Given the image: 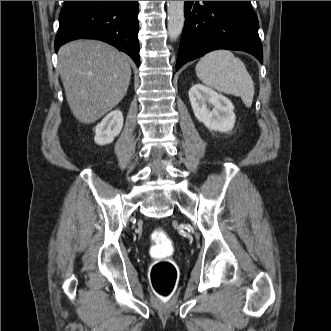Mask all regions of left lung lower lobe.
<instances>
[{
	"label": "left lung lower lobe",
	"mask_w": 331,
	"mask_h": 331,
	"mask_svg": "<svg viewBox=\"0 0 331 331\" xmlns=\"http://www.w3.org/2000/svg\"><path fill=\"white\" fill-rule=\"evenodd\" d=\"M176 70L212 50L245 51L263 62L258 19L250 1H185Z\"/></svg>",
	"instance_id": "obj_1"
}]
</instances>
